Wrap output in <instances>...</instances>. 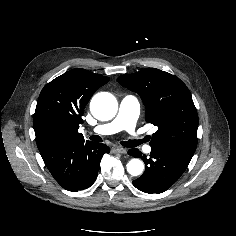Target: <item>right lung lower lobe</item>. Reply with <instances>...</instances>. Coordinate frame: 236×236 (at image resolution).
Wrapping results in <instances>:
<instances>
[{
  "mask_svg": "<svg viewBox=\"0 0 236 236\" xmlns=\"http://www.w3.org/2000/svg\"><path fill=\"white\" fill-rule=\"evenodd\" d=\"M109 152L105 144L76 139L40 150L54 179L72 192L86 189L94 183L101 158Z\"/></svg>",
  "mask_w": 236,
  "mask_h": 236,
  "instance_id": "1",
  "label": "right lung lower lobe"
}]
</instances>
